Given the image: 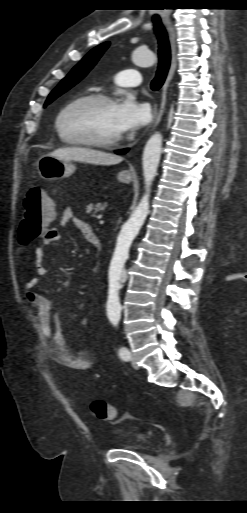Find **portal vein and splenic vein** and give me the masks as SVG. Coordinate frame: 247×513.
Here are the masks:
<instances>
[{
	"mask_svg": "<svg viewBox=\"0 0 247 513\" xmlns=\"http://www.w3.org/2000/svg\"><path fill=\"white\" fill-rule=\"evenodd\" d=\"M98 219H100V220H99V223H100V224H104V221H103V220H101V216H99V217H98Z\"/></svg>",
	"mask_w": 247,
	"mask_h": 513,
	"instance_id": "obj_1",
	"label": "portal vein and splenic vein"
}]
</instances>
